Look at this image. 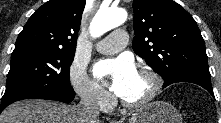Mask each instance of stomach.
I'll list each match as a JSON object with an SVG mask.
<instances>
[{"instance_id":"1","label":"stomach","mask_w":221,"mask_h":123,"mask_svg":"<svg viewBox=\"0 0 221 123\" xmlns=\"http://www.w3.org/2000/svg\"><path fill=\"white\" fill-rule=\"evenodd\" d=\"M129 123H182V117L171 104L154 101L136 110Z\"/></svg>"}]
</instances>
